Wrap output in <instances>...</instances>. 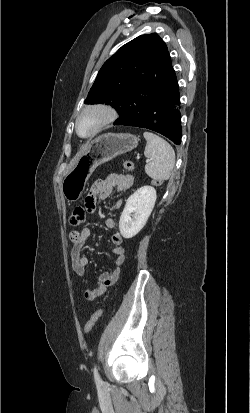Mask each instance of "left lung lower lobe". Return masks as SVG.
<instances>
[{
    "mask_svg": "<svg viewBox=\"0 0 250 413\" xmlns=\"http://www.w3.org/2000/svg\"><path fill=\"white\" fill-rule=\"evenodd\" d=\"M179 87L170 66L163 77L145 82L120 107L114 125L136 126L156 131L175 144L181 142Z\"/></svg>",
    "mask_w": 250,
    "mask_h": 413,
    "instance_id": "1",
    "label": "left lung lower lobe"
}]
</instances>
